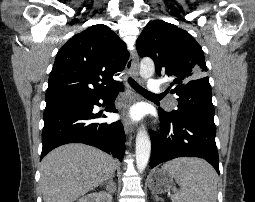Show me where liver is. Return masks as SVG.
<instances>
[{
	"mask_svg": "<svg viewBox=\"0 0 255 202\" xmlns=\"http://www.w3.org/2000/svg\"><path fill=\"white\" fill-rule=\"evenodd\" d=\"M117 161L94 147L72 143L48 153L41 162L44 202H74L113 177Z\"/></svg>",
	"mask_w": 255,
	"mask_h": 202,
	"instance_id": "6515ba94",
	"label": "liver"
}]
</instances>
